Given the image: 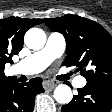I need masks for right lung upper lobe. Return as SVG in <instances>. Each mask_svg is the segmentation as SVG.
Instances as JSON below:
<instances>
[{"label":"right lung upper lobe","instance_id":"cb5924a9","mask_svg":"<svg viewBox=\"0 0 112 112\" xmlns=\"http://www.w3.org/2000/svg\"><path fill=\"white\" fill-rule=\"evenodd\" d=\"M42 22L41 19L19 17L0 19V90L11 81V78L4 74L5 64L12 63V56L22 49L25 32Z\"/></svg>","mask_w":112,"mask_h":112}]
</instances>
